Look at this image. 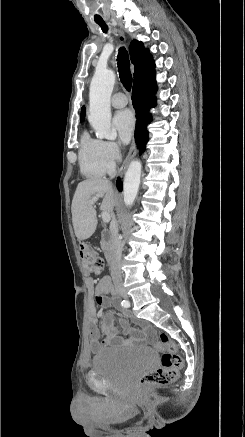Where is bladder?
I'll return each mask as SVG.
<instances>
[{
	"label": "bladder",
	"instance_id": "31cf9c89",
	"mask_svg": "<svg viewBox=\"0 0 245 437\" xmlns=\"http://www.w3.org/2000/svg\"><path fill=\"white\" fill-rule=\"evenodd\" d=\"M155 362V352L149 348H110L93 357L91 369L110 383L123 386L138 374L152 368Z\"/></svg>",
	"mask_w": 245,
	"mask_h": 437
}]
</instances>
